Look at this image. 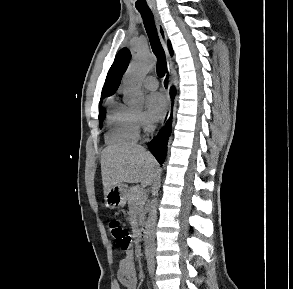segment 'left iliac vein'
Returning <instances> with one entry per match:
<instances>
[{
	"instance_id": "4c4485c4",
	"label": "left iliac vein",
	"mask_w": 293,
	"mask_h": 289,
	"mask_svg": "<svg viewBox=\"0 0 293 289\" xmlns=\"http://www.w3.org/2000/svg\"><path fill=\"white\" fill-rule=\"evenodd\" d=\"M153 289H158V286L155 283L153 284Z\"/></svg>"
}]
</instances>
